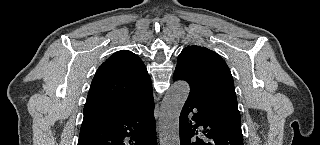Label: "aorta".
I'll use <instances>...</instances> for the list:
<instances>
[{
    "label": "aorta",
    "instance_id": "aorta-1",
    "mask_svg": "<svg viewBox=\"0 0 320 145\" xmlns=\"http://www.w3.org/2000/svg\"><path fill=\"white\" fill-rule=\"evenodd\" d=\"M189 91L187 82L177 81L166 92L159 115L160 145L180 144L179 117Z\"/></svg>",
    "mask_w": 320,
    "mask_h": 145
}]
</instances>
